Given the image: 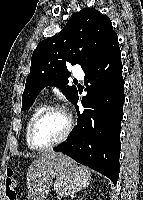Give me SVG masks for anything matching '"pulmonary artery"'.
<instances>
[{
	"label": "pulmonary artery",
	"mask_w": 143,
	"mask_h": 200,
	"mask_svg": "<svg viewBox=\"0 0 143 200\" xmlns=\"http://www.w3.org/2000/svg\"><path fill=\"white\" fill-rule=\"evenodd\" d=\"M73 76L76 79L82 80L84 78V72L81 69H76L73 72Z\"/></svg>",
	"instance_id": "1"
}]
</instances>
